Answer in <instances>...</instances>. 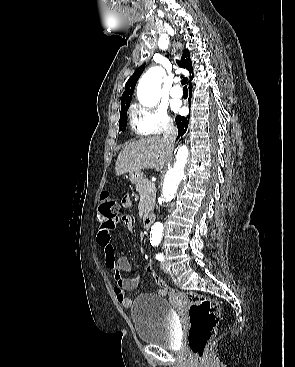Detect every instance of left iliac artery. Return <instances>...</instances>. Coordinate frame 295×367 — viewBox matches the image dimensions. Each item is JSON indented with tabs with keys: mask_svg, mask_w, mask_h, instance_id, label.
<instances>
[{
	"mask_svg": "<svg viewBox=\"0 0 295 367\" xmlns=\"http://www.w3.org/2000/svg\"><path fill=\"white\" fill-rule=\"evenodd\" d=\"M156 259L159 260V261H163L164 260V255L163 253H158L156 254Z\"/></svg>",
	"mask_w": 295,
	"mask_h": 367,
	"instance_id": "left-iliac-artery-1",
	"label": "left iliac artery"
}]
</instances>
